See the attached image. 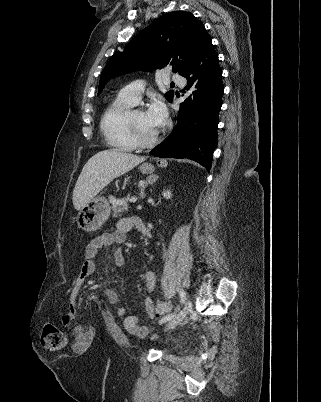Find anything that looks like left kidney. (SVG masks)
Segmentation results:
<instances>
[{
    "label": "left kidney",
    "mask_w": 321,
    "mask_h": 402,
    "mask_svg": "<svg viewBox=\"0 0 321 402\" xmlns=\"http://www.w3.org/2000/svg\"><path fill=\"white\" fill-rule=\"evenodd\" d=\"M163 197L166 199H170L172 197V193L170 191H164L163 192Z\"/></svg>",
    "instance_id": "5707ae66"
}]
</instances>
